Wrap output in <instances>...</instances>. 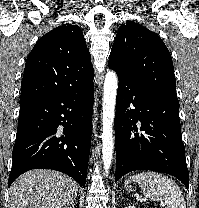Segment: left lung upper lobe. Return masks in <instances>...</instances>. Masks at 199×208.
<instances>
[{
    "mask_svg": "<svg viewBox=\"0 0 199 208\" xmlns=\"http://www.w3.org/2000/svg\"><path fill=\"white\" fill-rule=\"evenodd\" d=\"M108 65L145 87L176 97L169 50L156 33L138 23L118 29Z\"/></svg>",
    "mask_w": 199,
    "mask_h": 208,
    "instance_id": "obj_1",
    "label": "left lung upper lobe"
}]
</instances>
